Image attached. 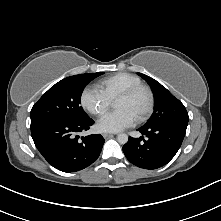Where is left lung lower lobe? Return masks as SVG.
Segmentation results:
<instances>
[{
    "mask_svg": "<svg viewBox=\"0 0 221 221\" xmlns=\"http://www.w3.org/2000/svg\"><path fill=\"white\" fill-rule=\"evenodd\" d=\"M188 122L172 121L138 129L147 137H129L123 146L126 158L144 169H156L167 164L179 150Z\"/></svg>",
    "mask_w": 221,
    "mask_h": 221,
    "instance_id": "left-lung-lower-lobe-1",
    "label": "left lung lower lobe"
}]
</instances>
